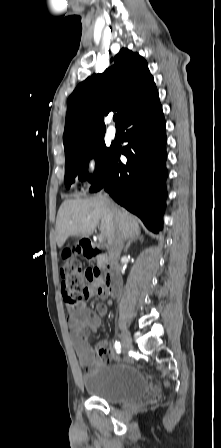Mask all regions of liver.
Listing matches in <instances>:
<instances>
[{
    "label": "liver",
    "mask_w": 221,
    "mask_h": 448,
    "mask_svg": "<svg viewBox=\"0 0 221 448\" xmlns=\"http://www.w3.org/2000/svg\"><path fill=\"white\" fill-rule=\"evenodd\" d=\"M105 196L91 199L65 200L56 219V242L61 248L71 236L89 237L100 225L108 245L113 247L118 237L131 240L140 234L137 218L119 208Z\"/></svg>",
    "instance_id": "6515ba94"
}]
</instances>
